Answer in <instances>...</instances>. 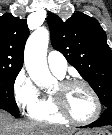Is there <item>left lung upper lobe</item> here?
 <instances>
[{
	"mask_svg": "<svg viewBox=\"0 0 112 135\" xmlns=\"http://www.w3.org/2000/svg\"><path fill=\"white\" fill-rule=\"evenodd\" d=\"M47 22L53 47L90 84L101 103L112 107V51L99 22L81 12L66 21L51 13Z\"/></svg>",
	"mask_w": 112,
	"mask_h": 135,
	"instance_id": "1",
	"label": "left lung upper lobe"
}]
</instances>
